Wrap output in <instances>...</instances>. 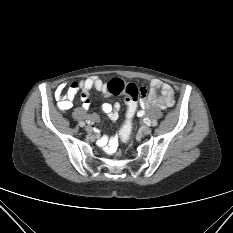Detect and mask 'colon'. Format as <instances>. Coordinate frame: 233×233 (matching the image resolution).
Instances as JSON below:
<instances>
[{"label": "colon", "instance_id": "1", "mask_svg": "<svg viewBox=\"0 0 233 233\" xmlns=\"http://www.w3.org/2000/svg\"><path fill=\"white\" fill-rule=\"evenodd\" d=\"M108 89L113 95H126L125 97V119L120 129V138L128 142L132 134V120L137 112L138 100L146 95L145 88L134 83H127L115 78L109 81Z\"/></svg>", "mask_w": 233, "mask_h": 233}]
</instances>
